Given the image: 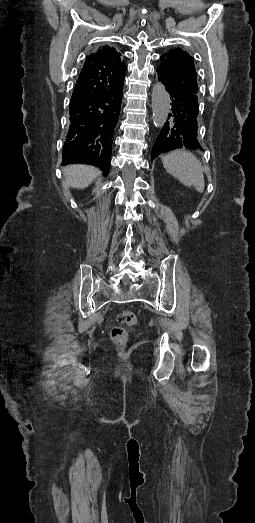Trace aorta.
I'll use <instances>...</instances> for the list:
<instances>
[{"label": "aorta", "mask_w": 255, "mask_h": 523, "mask_svg": "<svg viewBox=\"0 0 255 523\" xmlns=\"http://www.w3.org/2000/svg\"><path fill=\"white\" fill-rule=\"evenodd\" d=\"M152 111L154 126L161 128L169 113V96L160 82L155 83L152 88Z\"/></svg>", "instance_id": "1"}]
</instances>
